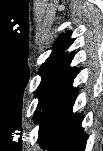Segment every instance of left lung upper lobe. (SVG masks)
Masks as SVG:
<instances>
[{"mask_svg":"<svg viewBox=\"0 0 103 151\" xmlns=\"http://www.w3.org/2000/svg\"><path fill=\"white\" fill-rule=\"evenodd\" d=\"M72 33L67 31L66 34L60 35L59 39L55 42L52 47V52L45 60V62L41 65V69H44L48 66L55 58H57L60 54L65 52L75 41V38H71Z\"/></svg>","mask_w":103,"mask_h":151,"instance_id":"obj_1","label":"left lung upper lobe"}]
</instances>
